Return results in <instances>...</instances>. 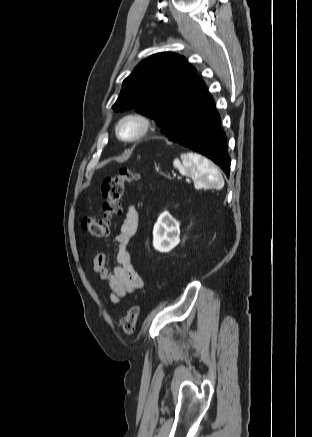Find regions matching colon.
<instances>
[{"label": "colon", "instance_id": "obj_1", "mask_svg": "<svg viewBox=\"0 0 312 437\" xmlns=\"http://www.w3.org/2000/svg\"><path fill=\"white\" fill-rule=\"evenodd\" d=\"M138 179V172L130 168H122L117 175L106 178L101 186L104 198L103 216L101 219L92 216L83 217L82 228L93 237H108L117 217L121 213V201L125 184ZM138 315L139 308L137 306H132L127 310L120 321L121 328L125 333L130 334L133 332Z\"/></svg>", "mask_w": 312, "mask_h": 437}]
</instances>
